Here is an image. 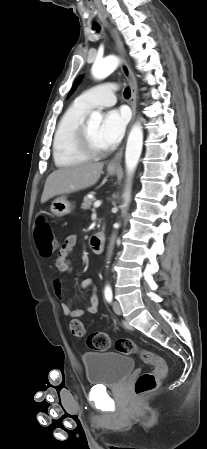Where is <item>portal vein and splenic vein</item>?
Listing matches in <instances>:
<instances>
[{
	"instance_id": "portal-vein-and-splenic-vein-1",
	"label": "portal vein and splenic vein",
	"mask_w": 207,
	"mask_h": 449,
	"mask_svg": "<svg viewBox=\"0 0 207 449\" xmlns=\"http://www.w3.org/2000/svg\"><path fill=\"white\" fill-rule=\"evenodd\" d=\"M101 203H102V202H101L100 200L95 201V202H94V207H95V208H98V207L101 205Z\"/></svg>"
}]
</instances>
